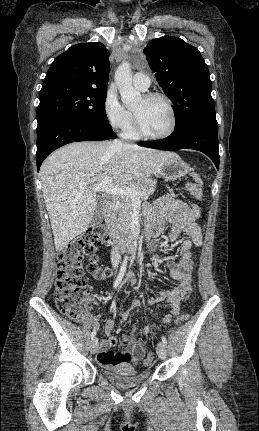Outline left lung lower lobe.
I'll return each mask as SVG.
<instances>
[{
  "label": "left lung lower lobe",
  "mask_w": 259,
  "mask_h": 431,
  "mask_svg": "<svg viewBox=\"0 0 259 431\" xmlns=\"http://www.w3.org/2000/svg\"><path fill=\"white\" fill-rule=\"evenodd\" d=\"M218 124L191 121L177 128L165 139L139 143L160 150L194 149L206 154L219 169Z\"/></svg>",
  "instance_id": "0a47b994"
}]
</instances>
